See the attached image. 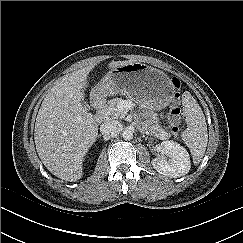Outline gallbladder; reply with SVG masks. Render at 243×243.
Here are the masks:
<instances>
[{
    "label": "gallbladder",
    "instance_id": "1",
    "mask_svg": "<svg viewBox=\"0 0 243 243\" xmlns=\"http://www.w3.org/2000/svg\"><path fill=\"white\" fill-rule=\"evenodd\" d=\"M84 106L86 107L87 110H89V105L88 104H84Z\"/></svg>",
    "mask_w": 243,
    "mask_h": 243
}]
</instances>
